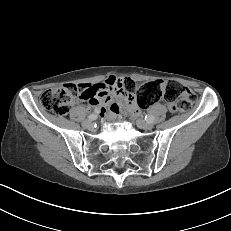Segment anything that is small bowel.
Masks as SVG:
<instances>
[{
	"label": "small bowel",
	"instance_id": "1",
	"mask_svg": "<svg viewBox=\"0 0 231 231\" xmlns=\"http://www.w3.org/2000/svg\"><path fill=\"white\" fill-rule=\"evenodd\" d=\"M123 81L122 77L111 75L99 84H81L80 86L87 89L89 94L80 102H86L99 108L101 113L106 112L105 106L108 105L110 115L117 114L121 105L137 114L138 108L135 105L134 98L121 88ZM114 97L119 102H112Z\"/></svg>",
	"mask_w": 231,
	"mask_h": 231
}]
</instances>
